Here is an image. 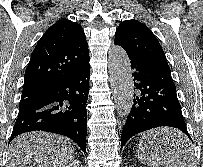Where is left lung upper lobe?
Instances as JSON below:
<instances>
[{
    "instance_id": "5c2ea615",
    "label": "left lung upper lobe",
    "mask_w": 203,
    "mask_h": 167,
    "mask_svg": "<svg viewBox=\"0 0 203 167\" xmlns=\"http://www.w3.org/2000/svg\"><path fill=\"white\" fill-rule=\"evenodd\" d=\"M115 44L122 46L130 56L159 69L170 71L157 38L147 26L137 20H125L119 24L115 33Z\"/></svg>"
}]
</instances>
